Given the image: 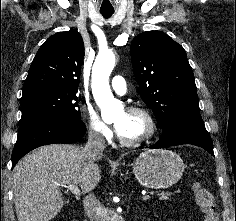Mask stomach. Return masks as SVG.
<instances>
[{"instance_id": "1", "label": "stomach", "mask_w": 236, "mask_h": 221, "mask_svg": "<svg viewBox=\"0 0 236 221\" xmlns=\"http://www.w3.org/2000/svg\"><path fill=\"white\" fill-rule=\"evenodd\" d=\"M184 163L173 151L153 149L142 152L133 163V173L138 182L151 189H164L177 183Z\"/></svg>"}]
</instances>
